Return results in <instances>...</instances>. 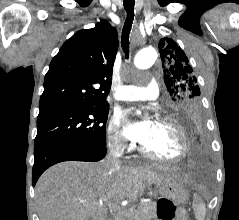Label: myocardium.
<instances>
[{
	"label": "myocardium",
	"instance_id": "1",
	"mask_svg": "<svg viewBox=\"0 0 239 220\" xmlns=\"http://www.w3.org/2000/svg\"><path fill=\"white\" fill-rule=\"evenodd\" d=\"M155 121L161 122V123H168L173 125L179 132L181 137V150L180 153L174 157H163L160 155H156L152 152H150L148 149H146L143 144L140 145L139 151L147 158L159 162H166V163H173L178 162L186 157L189 151V141L187 137V133L184 129V127L179 123V121L171 116L168 115H158L155 118Z\"/></svg>",
	"mask_w": 239,
	"mask_h": 220
}]
</instances>
